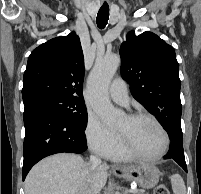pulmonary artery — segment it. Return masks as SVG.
I'll use <instances>...</instances> for the list:
<instances>
[{
  "instance_id": "pulmonary-artery-1",
  "label": "pulmonary artery",
  "mask_w": 201,
  "mask_h": 194,
  "mask_svg": "<svg viewBox=\"0 0 201 194\" xmlns=\"http://www.w3.org/2000/svg\"><path fill=\"white\" fill-rule=\"evenodd\" d=\"M109 94L113 101L121 105H127L129 101L126 82L122 78H116L109 86Z\"/></svg>"
}]
</instances>
